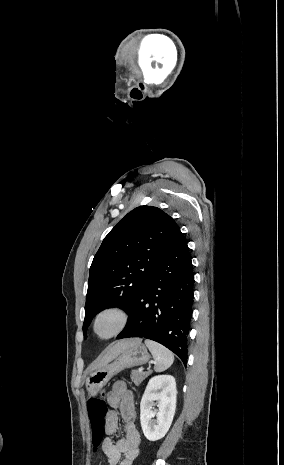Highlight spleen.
Masks as SVG:
<instances>
[{"label": "spleen", "mask_w": 284, "mask_h": 465, "mask_svg": "<svg viewBox=\"0 0 284 465\" xmlns=\"http://www.w3.org/2000/svg\"><path fill=\"white\" fill-rule=\"evenodd\" d=\"M145 345L148 347L155 361L154 369L156 373H163V371H166V369L171 367L174 361V355L171 353V351H168V349L163 347V345L155 343V341H149V339H146Z\"/></svg>", "instance_id": "3e777b00"}]
</instances>
